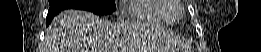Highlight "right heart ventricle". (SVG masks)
<instances>
[{
    "label": "right heart ventricle",
    "instance_id": "1",
    "mask_svg": "<svg viewBox=\"0 0 261 52\" xmlns=\"http://www.w3.org/2000/svg\"><path fill=\"white\" fill-rule=\"evenodd\" d=\"M170 0H132L125 8L124 19L144 24H172Z\"/></svg>",
    "mask_w": 261,
    "mask_h": 52
}]
</instances>
